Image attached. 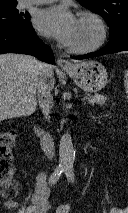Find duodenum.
Instances as JSON below:
<instances>
[{
	"mask_svg": "<svg viewBox=\"0 0 128 213\" xmlns=\"http://www.w3.org/2000/svg\"><path fill=\"white\" fill-rule=\"evenodd\" d=\"M34 130L37 136L40 138L45 152L49 156H52L55 149L53 137L49 133L44 131L42 128H40L39 126H34Z\"/></svg>",
	"mask_w": 128,
	"mask_h": 213,
	"instance_id": "duodenum-1",
	"label": "duodenum"
}]
</instances>
